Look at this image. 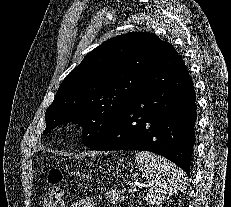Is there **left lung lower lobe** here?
<instances>
[{"instance_id": "left-lung-lower-lobe-1", "label": "left lung lower lobe", "mask_w": 231, "mask_h": 207, "mask_svg": "<svg viewBox=\"0 0 231 207\" xmlns=\"http://www.w3.org/2000/svg\"><path fill=\"white\" fill-rule=\"evenodd\" d=\"M145 86L105 136L90 148L151 151L174 162L190 176L196 94L185 63L173 46L151 70Z\"/></svg>"}]
</instances>
